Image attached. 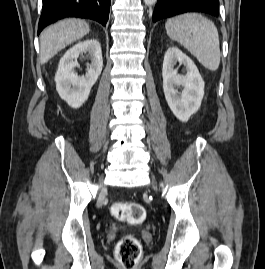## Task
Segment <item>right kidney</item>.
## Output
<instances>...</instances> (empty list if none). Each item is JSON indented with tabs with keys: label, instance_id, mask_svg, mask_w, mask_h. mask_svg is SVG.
Segmentation results:
<instances>
[{
	"label": "right kidney",
	"instance_id": "right-kidney-1",
	"mask_svg": "<svg viewBox=\"0 0 265 269\" xmlns=\"http://www.w3.org/2000/svg\"><path fill=\"white\" fill-rule=\"evenodd\" d=\"M88 53L91 64H87L86 76L74 72L76 59L80 54ZM103 68L102 50L95 39H88L70 48L60 59L55 75L56 90L60 97L72 108H79L88 99L92 86Z\"/></svg>",
	"mask_w": 265,
	"mask_h": 269
}]
</instances>
